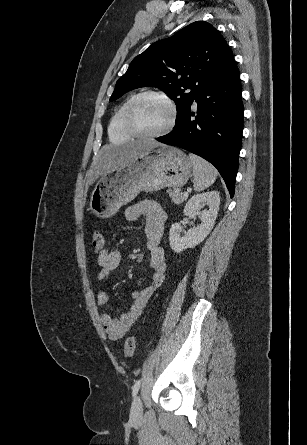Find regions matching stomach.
I'll return each mask as SVG.
<instances>
[{"label":"stomach","mask_w":307,"mask_h":445,"mask_svg":"<svg viewBox=\"0 0 307 445\" xmlns=\"http://www.w3.org/2000/svg\"><path fill=\"white\" fill-rule=\"evenodd\" d=\"M193 164L176 146H158L141 152L134 162L115 166L99 178L90 198V208L99 218H109L141 190L153 192L164 186H184Z\"/></svg>","instance_id":"obj_1"}]
</instances>
